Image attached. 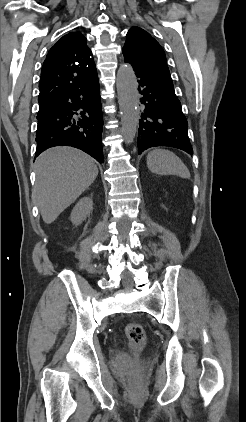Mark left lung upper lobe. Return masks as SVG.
Here are the masks:
<instances>
[{"label":"left lung upper lobe","mask_w":246,"mask_h":422,"mask_svg":"<svg viewBox=\"0 0 246 422\" xmlns=\"http://www.w3.org/2000/svg\"><path fill=\"white\" fill-rule=\"evenodd\" d=\"M123 47L124 59L174 90L165 53L160 44L145 30L132 27Z\"/></svg>","instance_id":"obj_1"}]
</instances>
